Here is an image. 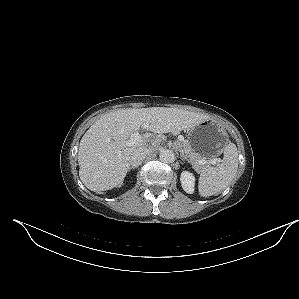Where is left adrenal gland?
<instances>
[{
  "label": "left adrenal gland",
  "instance_id": "left-adrenal-gland-1",
  "mask_svg": "<svg viewBox=\"0 0 299 299\" xmlns=\"http://www.w3.org/2000/svg\"><path fill=\"white\" fill-rule=\"evenodd\" d=\"M180 158H181V160L184 162L185 160H188L187 158H186V156L183 154V153H181L180 154Z\"/></svg>",
  "mask_w": 299,
  "mask_h": 299
}]
</instances>
